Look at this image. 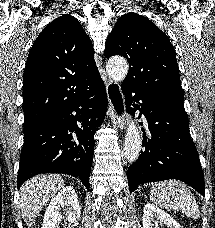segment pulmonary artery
Listing matches in <instances>:
<instances>
[{
    "mask_svg": "<svg viewBox=\"0 0 215 228\" xmlns=\"http://www.w3.org/2000/svg\"><path fill=\"white\" fill-rule=\"evenodd\" d=\"M132 101L133 102H138L139 101V98L138 97H133L132 98ZM138 109H141V106H138Z\"/></svg>",
    "mask_w": 215,
    "mask_h": 228,
    "instance_id": "e3ab8cb5",
    "label": "pulmonary artery"
}]
</instances>
